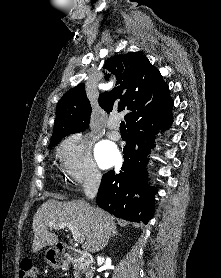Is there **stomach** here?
<instances>
[{"mask_svg": "<svg viewBox=\"0 0 221 278\" xmlns=\"http://www.w3.org/2000/svg\"><path fill=\"white\" fill-rule=\"evenodd\" d=\"M45 259L53 268H60L65 265L62 255L54 247L46 250Z\"/></svg>", "mask_w": 221, "mask_h": 278, "instance_id": "stomach-1", "label": "stomach"}]
</instances>
